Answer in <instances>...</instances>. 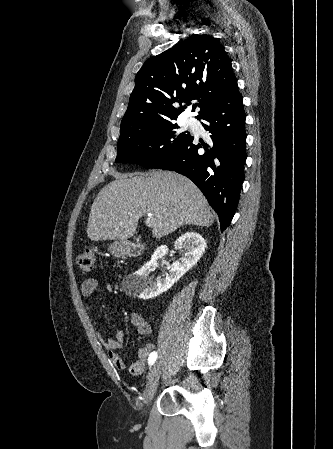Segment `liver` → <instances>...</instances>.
Returning <instances> with one entry per match:
<instances>
[{
	"label": "liver",
	"mask_w": 333,
	"mask_h": 449,
	"mask_svg": "<svg viewBox=\"0 0 333 449\" xmlns=\"http://www.w3.org/2000/svg\"><path fill=\"white\" fill-rule=\"evenodd\" d=\"M145 214L152 215L149 226L156 238L186 224L209 227L214 222L205 196L190 179L153 170L117 177L100 190L91 206L88 237L125 241Z\"/></svg>",
	"instance_id": "obj_1"
}]
</instances>
